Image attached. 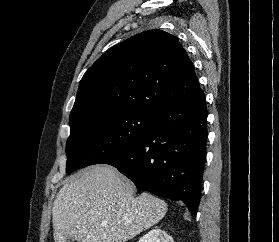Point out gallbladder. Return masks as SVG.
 Returning a JSON list of instances; mask_svg holds the SVG:
<instances>
[{
	"instance_id": "obj_1",
	"label": "gallbladder",
	"mask_w": 279,
	"mask_h": 242,
	"mask_svg": "<svg viewBox=\"0 0 279 242\" xmlns=\"http://www.w3.org/2000/svg\"><path fill=\"white\" fill-rule=\"evenodd\" d=\"M76 240L72 237H68L66 242H75Z\"/></svg>"
}]
</instances>
